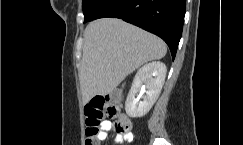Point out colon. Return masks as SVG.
Listing matches in <instances>:
<instances>
[{
  "label": "colon",
  "instance_id": "obj_1",
  "mask_svg": "<svg viewBox=\"0 0 243 145\" xmlns=\"http://www.w3.org/2000/svg\"><path fill=\"white\" fill-rule=\"evenodd\" d=\"M85 115V145H98L97 135L100 132L104 116L117 118L115 130L123 133L130 129V122L127 118L120 117L117 106L105 98L93 99L84 108Z\"/></svg>",
  "mask_w": 243,
  "mask_h": 145
}]
</instances>
